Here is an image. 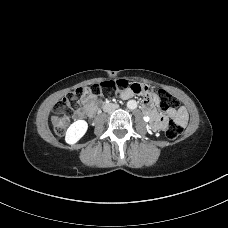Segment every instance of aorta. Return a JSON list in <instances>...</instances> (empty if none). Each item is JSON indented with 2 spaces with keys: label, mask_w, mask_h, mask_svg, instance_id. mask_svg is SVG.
<instances>
[{
  "label": "aorta",
  "mask_w": 228,
  "mask_h": 228,
  "mask_svg": "<svg viewBox=\"0 0 228 228\" xmlns=\"http://www.w3.org/2000/svg\"><path fill=\"white\" fill-rule=\"evenodd\" d=\"M137 102L135 101V100H129L128 102H127V107L129 108V109H131V110H134V109H136L137 108Z\"/></svg>",
  "instance_id": "1"
}]
</instances>
